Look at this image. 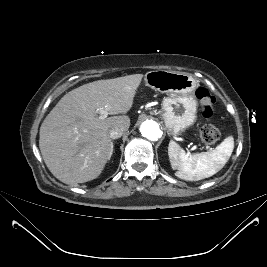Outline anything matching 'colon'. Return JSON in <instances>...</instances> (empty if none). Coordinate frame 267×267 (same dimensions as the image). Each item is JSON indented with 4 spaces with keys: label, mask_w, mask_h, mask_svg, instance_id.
<instances>
[{
    "label": "colon",
    "mask_w": 267,
    "mask_h": 267,
    "mask_svg": "<svg viewBox=\"0 0 267 267\" xmlns=\"http://www.w3.org/2000/svg\"><path fill=\"white\" fill-rule=\"evenodd\" d=\"M202 114L205 118H211L216 112V98L206 89L200 87L196 90ZM203 143L212 145L220 138L219 130L213 124H205L200 131Z\"/></svg>",
    "instance_id": "colon-1"
}]
</instances>
